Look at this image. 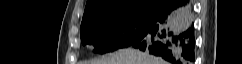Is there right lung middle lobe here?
<instances>
[{"label": "right lung middle lobe", "instance_id": "dd1d6c3e", "mask_svg": "<svg viewBox=\"0 0 242 64\" xmlns=\"http://www.w3.org/2000/svg\"><path fill=\"white\" fill-rule=\"evenodd\" d=\"M159 11L136 8L104 14L81 23V42L107 53L130 46L158 19Z\"/></svg>", "mask_w": 242, "mask_h": 64}]
</instances>
